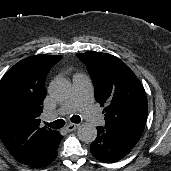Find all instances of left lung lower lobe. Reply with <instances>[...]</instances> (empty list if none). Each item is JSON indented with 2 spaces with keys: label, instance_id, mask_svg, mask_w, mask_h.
Instances as JSON below:
<instances>
[{
  "label": "left lung lower lobe",
  "instance_id": "left-lung-lower-lobe-1",
  "mask_svg": "<svg viewBox=\"0 0 171 171\" xmlns=\"http://www.w3.org/2000/svg\"><path fill=\"white\" fill-rule=\"evenodd\" d=\"M97 132L90 151L93 156L103 162L113 163L122 159L136 145L102 127H97Z\"/></svg>",
  "mask_w": 171,
  "mask_h": 171
}]
</instances>
